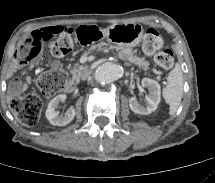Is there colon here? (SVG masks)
<instances>
[{"label":"colon","mask_w":215,"mask_h":183,"mask_svg":"<svg viewBox=\"0 0 215 183\" xmlns=\"http://www.w3.org/2000/svg\"><path fill=\"white\" fill-rule=\"evenodd\" d=\"M55 38L52 45V54L57 57L66 56L73 46L72 31L63 30L54 36H46L47 40ZM42 42L39 39L30 43L24 42L19 57L33 58L40 52ZM163 39L156 29L148 28L143 37V50L147 55L154 56V63L158 71L169 70L174 63L173 53L163 49ZM66 76L60 70L46 72L40 75L37 85L40 91L47 96L59 92L65 85ZM11 108L17 120L24 126H34L38 123L42 111L41 99L33 94L18 97L12 100Z\"/></svg>","instance_id":"5ec220e1"}]
</instances>
